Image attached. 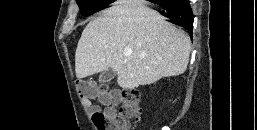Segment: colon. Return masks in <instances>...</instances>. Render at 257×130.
<instances>
[{"mask_svg":"<svg viewBox=\"0 0 257 130\" xmlns=\"http://www.w3.org/2000/svg\"><path fill=\"white\" fill-rule=\"evenodd\" d=\"M78 93L81 97H94L96 93H108L107 85L93 81L79 80ZM141 115V97L136 89H128L120 94V107L110 113L96 111L92 121L97 130H129L132 123L138 122Z\"/></svg>","mask_w":257,"mask_h":130,"instance_id":"5ec220e1","label":"colon"}]
</instances>
